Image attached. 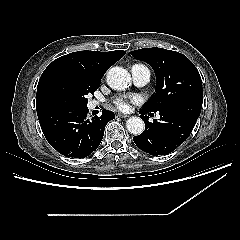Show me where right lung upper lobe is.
Instances as JSON below:
<instances>
[{
	"instance_id": "obj_1",
	"label": "right lung upper lobe",
	"mask_w": 240,
	"mask_h": 240,
	"mask_svg": "<svg viewBox=\"0 0 240 240\" xmlns=\"http://www.w3.org/2000/svg\"><path fill=\"white\" fill-rule=\"evenodd\" d=\"M125 53L122 50L110 52L77 51L51 62L42 73L37 85L36 109L38 117L55 108L45 96L46 85L54 76L66 73L80 80L101 82L107 69L121 59Z\"/></svg>"
}]
</instances>
